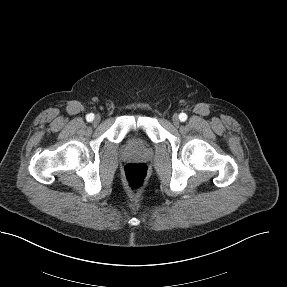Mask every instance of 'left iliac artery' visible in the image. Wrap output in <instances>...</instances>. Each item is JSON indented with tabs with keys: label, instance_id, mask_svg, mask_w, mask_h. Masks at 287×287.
<instances>
[{
	"label": "left iliac artery",
	"instance_id": "44dca946",
	"mask_svg": "<svg viewBox=\"0 0 287 287\" xmlns=\"http://www.w3.org/2000/svg\"><path fill=\"white\" fill-rule=\"evenodd\" d=\"M179 119H180V121L184 122L187 120V115L185 113H180Z\"/></svg>",
	"mask_w": 287,
	"mask_h": 287
}]
</instances>
